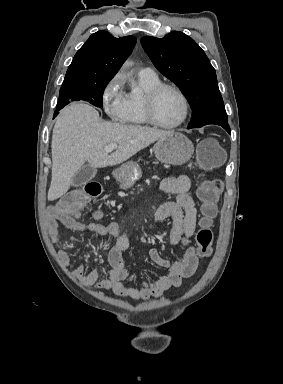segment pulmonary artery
Segmentation results:
<instances>
[{
	"label": "pulmonary artery",
	"instance_id": "obj_1",
	"mask_svg": "<svg viewBox=\"0 0 283 384\" xmlns=\"http://www.w3.org/2000/svg\"><path fill=\"white\" fill-rule=\"evenodd\" d=\"M139 75L148 79H157V74L151 68H141L138 72Z\"/></svg>",
	"mask_w": 283,
	"mask_h": 384
}]
</instances>
